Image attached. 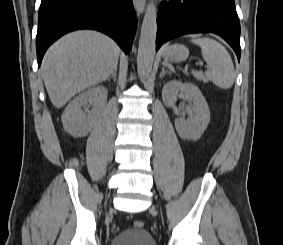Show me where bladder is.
Wrapping results in <instances>:
<instances>
[{
  "label": "bladder",
  "mask_w": 283,
  "mask_h": 245,
  "mask_svg": "<svg viewBox=\"0 0 283 245\" xmlns=\"http://www.w3.org/2000/svg\"><path fill=\"white\" fill-rule=\"evenodd\" d=\"M110 245H157L151 233L145 229H126L111 240Z\"/></svg>",
  "instance_id": "obj_1"
}]
</instances>
